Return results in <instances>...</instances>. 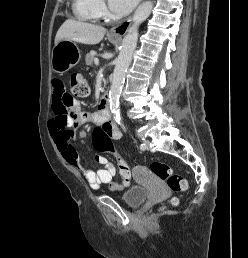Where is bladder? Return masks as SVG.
Masks as SVG:
<instances>
[{
  "mask_svg": "<svg viewBox=\"0 0 248 258\" xmlns=\"http://www.w3.org/2000/svg\"><path fill=\"white\" fill-rule=\"evenodd\" d=\"M148 197V190L145 187L133 186L125 191L120 198L129 207H139Z\"/></svg>",
  "mask_w": 248,
  "mask_h": 258,
  "instance_id": "bladder-1",
  "label": "bladder"
}]
</instances>
